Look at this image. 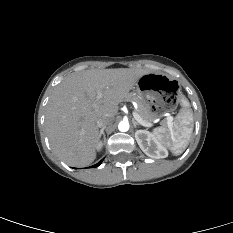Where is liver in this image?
Masks as SVG:
<instances>
[{"instance_id": "liver-1", "label": "liver", "mask_w": 233, "mask_h": 233, "mask_svg": "<svg viewBox=\"0 0 233 233\" xmlns=\"http://www.w3.org/2000/svg\"><path fill=\"white\" fill-rule=\"evenodd\" d=\"M145 73L138 68H117L66 76L54 88L45 115L49 142L58 157L70 166L91 164L101 137L97 121L109 117L113 122L118 105Z\"/></svg>"}]
</instances>
